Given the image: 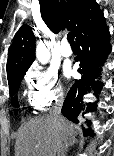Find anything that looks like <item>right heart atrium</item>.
Wrapping results in <instances>:
<instances>
[{"label": "right heart atrium", "mask_w": 114, "mask_h": 156, "mask_svg": "<svg viewBox=\"0 0 114 156\" xmlns=\"http://www.w3.org/2000/svg\"><path fill=\"white\" fill-rule=\"evenodd\" d=\"M27 93L30 104L44 111L64 99V89L53 68L33 66L27 73Z\"/></svg>", "instance_id": "d8ad5b80"}]
</instances>
